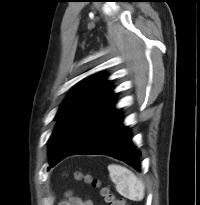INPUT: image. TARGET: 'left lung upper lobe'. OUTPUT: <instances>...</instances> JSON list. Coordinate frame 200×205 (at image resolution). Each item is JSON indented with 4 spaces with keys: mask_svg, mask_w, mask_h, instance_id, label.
<instances>
[{
    "mask_svg": "<svg viewBox=\"0 0 200 205\" xmlns=\"http://www.w3.org/2000/svg\"><path fill=\"white\" fill-rule=\"evenodd\" d=\"M105 75H92L79 82L63 102L60 119L49 139L51 167L61 161L114 103L116 94Z\"/></svg>",
    "mask_w": 200,
    "mask_h": 205,
    "instance_id": "left-lung-upper-lobe-1",
    "label": "left lung upper lobe"
}]
</instances>
